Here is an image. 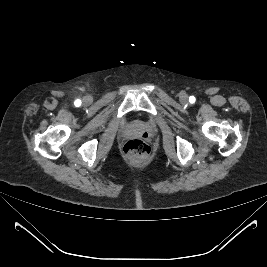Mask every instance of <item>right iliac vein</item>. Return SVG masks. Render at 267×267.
Returning <instances> with one entry per match:
<instances>
[{"label": "right iliac vein", "instance_id": "right-iliac-vein-1", "mask_svg": "<svg viewBox=\"0 0 267 267\" xmlns=\"http://www.w3.org/2000/svg\"><path fill=\"white\" fill-rule=\"evenodd\" d=\"M88 100H89L88 98L85 99V101H88Z\"/></svg>", "mask_w": 267, "mask_h": 267}]
</instances>
